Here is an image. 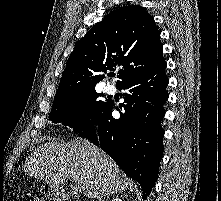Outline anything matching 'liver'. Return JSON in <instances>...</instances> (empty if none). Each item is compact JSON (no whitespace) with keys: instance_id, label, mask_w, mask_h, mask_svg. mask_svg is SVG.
Masks as SVG:
<instances>
[{"instance_id":"1","label":"liver","mask_w":221,"mask_h":201,"mask_svg":"<svg viewBox=\"0 0 221 201\" xmlns=\"http://www.w3.org/2000/svg\"><path fill=\"white\" fill-rule=\"evenodd\" d=\"M24 171L52 187L59 188L69 178L79 180L88 198L123 192L132 182L117 164L88 140L68 143L49 141L26 159Z\"/></svg>"}]
</instances>
